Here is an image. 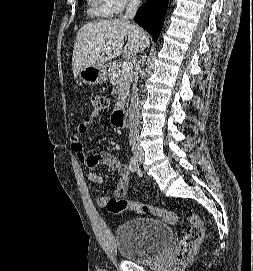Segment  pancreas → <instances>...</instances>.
I'll use <instances>...</instances> for the list:
<instances>
[{"label": "pancreas", "instance_id": "obj_1", "mask_svg": "<svg viewBox=\"0 0 253 271\" xmlns=\"http://www.w3.org/2000/svg\"><path fill=\"white\" fill-rule=\"evenodd\" d=\"M122 64L119 62H111L107 65L108 76L110 82L113 86L116 87L118 96L117 107H122L125 104L126 98L129 94L130 85L133 81V72L123 74L120 70Z\"/></svg>", "mask_w": 253, "mask_h": 271}]
</instances>
